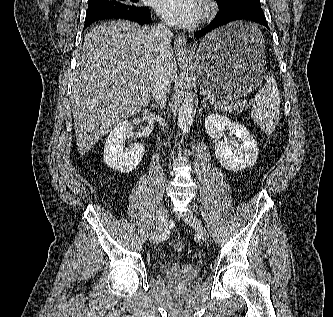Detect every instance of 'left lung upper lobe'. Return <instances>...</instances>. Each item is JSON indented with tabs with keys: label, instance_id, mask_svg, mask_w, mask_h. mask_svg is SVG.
<instances>
[{
	"label": "left lung upper lobe",
	"instance_id": "left-lung-upper-lobe-1",
	"mask_svg": "<svg viewBox=\"0 0 333 317\" xmlns=\"http://www.w3.org/2000/svg\"><path fill=\"white\" fill-rule=\"evenodd\" d=\"M218 3L219 10L227 11L239 7L260 6V0H215Z\"/></svg>",
	"mask_w": 333,
	"mask_h": 317
}]
</instances>
